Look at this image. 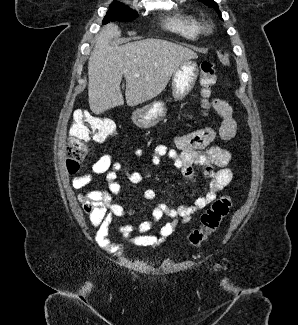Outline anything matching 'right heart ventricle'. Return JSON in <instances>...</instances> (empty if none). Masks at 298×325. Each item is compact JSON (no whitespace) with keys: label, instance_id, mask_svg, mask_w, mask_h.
<instances>
[{"label":"right heart ventricle","instance_id":"1","mask_svg":"<svg viewBox=\"0 0 298 325\" xmlns=\"http://www.w3.org/2000/svg\"><path fill=\"white\" fill-rule=\"evenodd\" d=\"M165 28L188 41H195L202 35L200 20L192 13L181 11L166 19Z\"/></svg>","mask_w":298,"mask_h":325}]
</instances>
